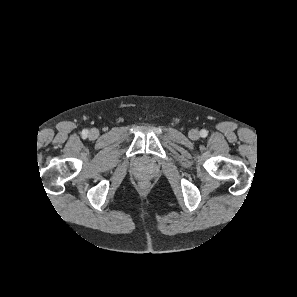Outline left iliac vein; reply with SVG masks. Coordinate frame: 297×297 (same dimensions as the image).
<instances>
[{
    "instance_id": "obj_1",
    "label": "left iliac vein",
    "mask_w": 297,
    "mask_h": 297,
    "mask_svg": "<svg viewBox=\"0 0 297 297\" xmlns=\"http://www.w3.org/2000/svg\"><path fill=\"white\" fill-rule=\"evenodd\" d=\"M188 136L192 140H197V139H199L200 134L197 130L192 129L189 131Z\"/></svg>"
}]
</instances>
